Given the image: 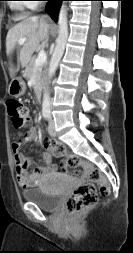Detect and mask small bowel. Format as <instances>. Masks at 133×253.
Instances as JSON below:
<instances>
[{"label": "small bowel", "instance_id": "c3829d8e", "mask_svg": "<svg viewBox=\"0 0 133 253\" xmlns=\"http://www.w3.org/2000/svg\"><path fill=\"white\" fill-rule=\"evenodd\" d=\"M38 137L37 132L33 129L28 130L22 139L16 140L12 144L14 153V169L18 184L22 188H30L39 185L45 174L56 170V166L52 163V156L49 152L43 154L44 165L38 166L32 173H28L27 169L30 165V159L20 153L21 147Z\"/></svg>", "mask_w": 133, "mask_h": 253}]
</instances>
